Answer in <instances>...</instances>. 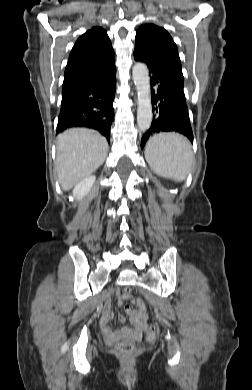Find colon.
I'll return each mask as SVG.
<instances>
[{"instance_id": "5ec220e1", "label": "colon", "mask_w": 252, "mask_h": 390, "mask_svg": "<svg viewBox=\"0 0 252 390\" xmlns=\"http://www.w3.org/2000/svg\"><path fill=\"white\" fill-rule=\"evenodd\" d=\"M124 296H130V289H124ZM150 331H153V326H150ZM138 348V343L136 341H125L117 345L116 351L122 357H130L132 356Z\"/></svg>"}]
</instances>
